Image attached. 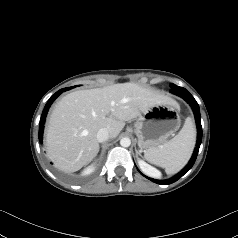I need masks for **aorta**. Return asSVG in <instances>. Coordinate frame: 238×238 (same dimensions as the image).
<instances>
[{"label": "aorta", "mask_w": 238, "mask_h": 238, "mask_svg": "<svg viewBox=\"0 0 238 238\" xmlns=\"http://www.w3.org/2000/svg\"><path fill=\"white\" fill-rule=\"evenodd\" d=\"M120 145L122 147H129L131 145V140L128 137H124L120 140Z\"/></svg>", "instance_id": "aorta-1"}]
</instances>
